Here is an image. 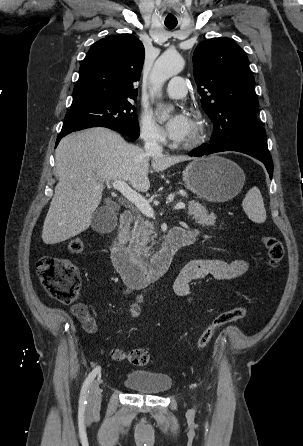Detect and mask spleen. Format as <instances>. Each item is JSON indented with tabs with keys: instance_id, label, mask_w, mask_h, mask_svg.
Returning a JSON list of instances; mask_svg holds the SVG:
<instances>
[{
	"instance_id": "1",
	"label": "spleen",
	"mask_w": 303,
	"mask_h": 446,
	"mask_svg": "<svg viewBox=\"0 0 303 446\" xmlns=\"http://www.w3.org/2000/svg\"><path fill=\"white\" fill-rule=\"evenodd\" d=\"M242 207L249 217L255 223H264L266 220V210L260 190L258 187H252L246 194Z\"/></svg>"
}]
</instances>
